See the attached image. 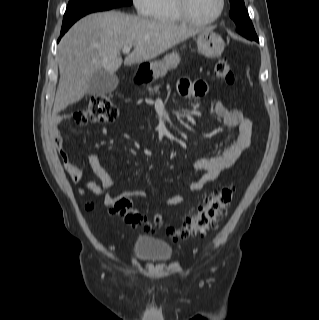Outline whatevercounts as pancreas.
Masks as SVG:
<instances>
[{
    "label": "pancreas",
    "mask_w": 319,
    "mask_h": 320,
    "mask_svg": "<svg viewBox=\"0 0 319 320\" xmlns=\"http://www.w3.org/2000/svg\"><path fill=\"white\" fill-rule=\"evenodd\" d=\"M148 91H149L150 94L154 93V90L152 89V87H148Z\"/></svg>",
    "instance_id": "obj_1"
}]
</instances>
